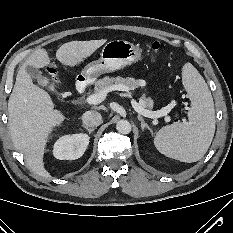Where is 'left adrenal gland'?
Returning <instances> with one entry per match:
<instances>
[{"mask_svg": "<svg viewBox=\"0 0 233 233\" xmlns=\"http://www.w3.org/2000/svg\"><path fill=\"white\" fill-rule=\"evenodd\" d=\"M138 120L141 121V127L142 129L144 130L145 128H147L151 133H152V130L151 128L148 126L147 123H145L144 119L142 116L138 115Z\"/></svg>", "mask_w": 233, "mask_h": 233, "instance_id": "left-adrenal-gland-1", "label": "left adrenal gland"}]
</instances>
